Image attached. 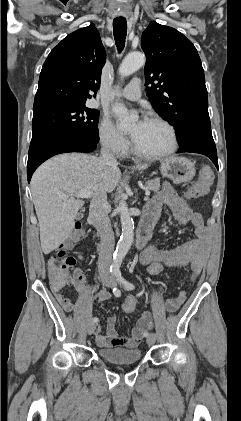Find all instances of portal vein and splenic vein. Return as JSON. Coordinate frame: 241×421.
<instances>
[{"label":"portal vein and splenic vein","instance_id":"portal-vein-and-splenic-vein-1","mask_svg":"<svg viewBox=\"0 0 241 421\" xmlns=\"http://www.w3.org/2000/svg\"><path fill=\"white\" fill-rule=\"evenodd\" d=\"M145 195H146V198H148V196L150 195V191L149 190H146L145 191ZM62 196L64 198H68L70 195L63 194ZM74 196H76L78 198H90L91 197V193L90 192H87V191H79V192H76L74 194Z\"/></svg>","mask_w":241,"mask_h":421}]
</instances>
